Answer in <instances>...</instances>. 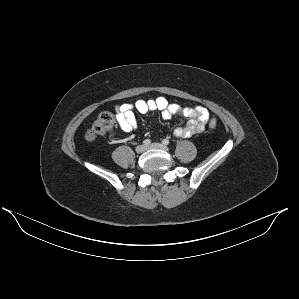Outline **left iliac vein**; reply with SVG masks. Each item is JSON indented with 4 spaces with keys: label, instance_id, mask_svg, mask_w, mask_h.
<instances>
[{
    "label": "left iliac vein",
    "instance_id": "4c4485c4",
    "mask_svg": "<svg viewBox=\"0 0 299 299\" xmlns=\"http://www.w3.org/2000/svg\"><path fill=\"white\" fill-rule=\"evenodd\" d=\"M147 149H160V150H163V151H168V147L161 144V143H152L150 145L147 146Z\"/></svg>",
    "mask_w": 299,
    "mask_h": 299
}]
</instances>
